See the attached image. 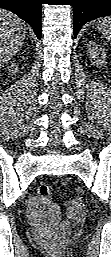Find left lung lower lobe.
Returning <instances> with one entry per match:
<instances>
[{"label": "left lung lower lobe", "instance_id": "0a47b994", "mask_svg": "<svg viewBox=\"0 0 111 257\" xmlns=\"http://www.w3.org/2000/svg\"><path fill=\"white\" fill-rule=\"evenodd\" d=\"M74 2L75 37L85 23L99 17L111 15V0H75Z\"/></svg>", "mask_w": 111, "mask_h": 257}]
</instances>
